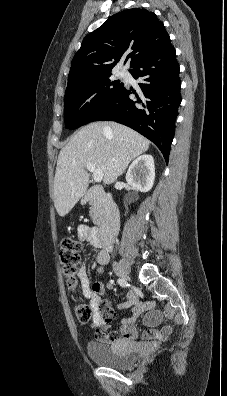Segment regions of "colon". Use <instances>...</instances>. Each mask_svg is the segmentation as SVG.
Returning <instances> with one entry per match:
<instances>
[{
  "label": "colon",
  "instance_id": "5ec220e1",
  "mask_svg": "<svg viewBox=\"0 0 227 396\" xmlns=\"http://www.w3.org/2000/svg\"><path fill=\"white\" fill-rule=\"evenodd\" d=\"M81 250V244L71 238H65L62 241L59 258L70 289H75L77 286L76 273ZM74 311L77 319L82 323H87L92 319L93 309L88 304L78 303Z\"/></svg>",
  "mask_w": 227,
  "mask_h": 396
}]
</instances>
